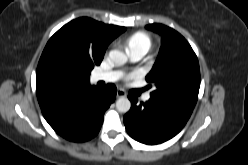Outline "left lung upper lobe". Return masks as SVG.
<instances>
[{"label": "left lung upper lobe", "mask_w": 248, "mask_h": 165, "mask_svg": "<svg viewBox=\"0 0 248 165\" xmlns=\"http://www.w3.org/2000/svg\"><path fill=\"white\" fill-rule=\"evenodd\" d=\"M146 28L162 35L159 55L146 76V81L155 88L150 98L194 108L200 87V69L193 49L170 27L150 24Z\"/></svg>", "instance_id": "5c2ea615"}]
</instances>
